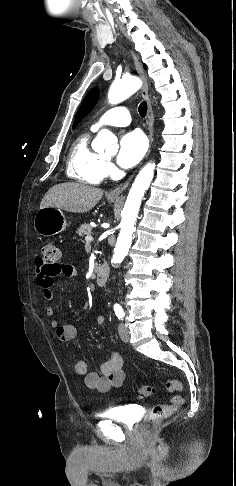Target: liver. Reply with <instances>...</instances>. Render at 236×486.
<instances>
[{"mask_svg":"<svg viewBox=\"0 0 236 486\" xmlns=\"http://www.w3.org/2000/svg\"><path fill=\"white\" fill-rule=\"evenodd\" d=\"M103 196V190L82 183H62L53 186L43 197L40 209L55 207L72 213L90 211Z\"/></svg>","mask_w":236,"mask_h":486,"instance_id":"liver-1","label":"liver"}]
</instances>
